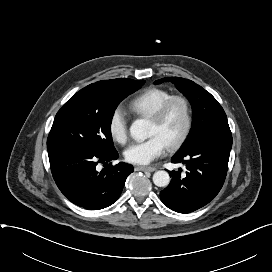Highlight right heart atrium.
Returning <instances> with one entry per match:
<instances>
[{"mask_svg": "<svg viewBox=\"0 0 272 272\" xmlns=\"http://www.w3.org/2000/svg\"><path fill=\"white\" fill-rule=\"evenodd\" d=\"M108 131L116 142L125 144L128 139V123L124 111L117 107L113 110L108 121Z\"/></svg>", "mask_w": 272, "mask_h": 272, "instance_id": "1", "label": "right heart atrium"}]
</instances>
